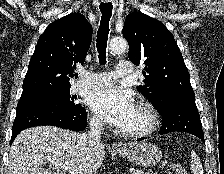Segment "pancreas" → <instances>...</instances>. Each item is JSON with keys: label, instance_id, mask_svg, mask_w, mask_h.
<instances>
[{"label": "pancreas", "instance_id": "1", "mask_svg": "<svg viewBox=\"0 0 224 174\" xmlns=\"http://www.w3.org/2000/svg\"><path fill=\"white\" fill-rule=\"evenodd\" d=\"M141 174H155V173H149V172H147V173H141Z\"/></svg>", "mask_w": 224, "mask_h": 174}]
</instances>
